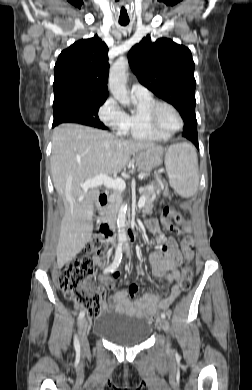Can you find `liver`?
<instances>
[{
  "label": "liver",
  "mask_w": 252,
  "mask_h": 390,
  "mask_svg": "<svg viewBox=\"0 0 252 390\" xmlns=\"http://www.w3.org/2000/svg\"><path fill=\"white\" fill-rule=\"evenodd\" d=\"M149 148L163 151L150 142L119 140L107 131L79 124H61L54 129L51 173L66 208L56 249L59 268L71 261L92 235L94 201L99 192L85 190L81 184L99 174H117L131 155Z\"/></svg>",
  "instance_id": "1"
}]
</instances>
